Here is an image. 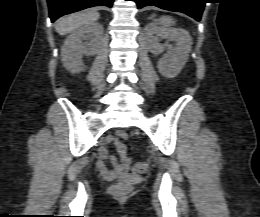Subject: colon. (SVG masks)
Wrapping results in <instances>:
<instances>
[{
	"mask_svg": "<svg viewBox=\"0 0 260 217\" xmlns=\"http://www.w3.org/2000/svg\"><path fill=\"white\" fill-rule=\"evenodd\" d=\"M147 169L145 162H138L134 165V172H143ZM128 186L125 183H118L111 187V192L114 194L123 195L126 193Z\"/></svg>",
	"mask_w": 260,
	"mask_h": 217,
	"instance_id": "1",
	"label": "colon"
}]
</instances>
